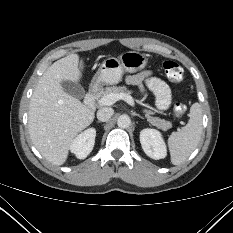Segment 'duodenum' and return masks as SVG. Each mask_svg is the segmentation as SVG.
<instances>
[{
    "label": "duodenum",
    "mask_w": 233,
    "mask_h": 233,
    "mask_svg": "<svg viewBox=\"0 0 233 233\" xmlns=\"http://www.w3.org/2000/svg\"><path fill=\"white\" fill-rule=\"evenodd\" d=\"M99 94V87L93 85L87 95L85 96L84 103L87 107H93Z\"/></svg>",
    "instance_id": "obj_1"
}]
</instances>
